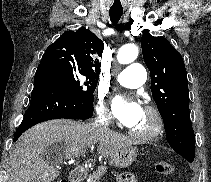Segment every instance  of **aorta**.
Returning <instances> with one entry per match:
<instances>
[{
	"label": "aorta",
	"mask_w": 211,
	"mask_h": 182,
	"mask_svg": "<svg viewBox=\"0 0 211 182\" xmlns=\"http://www.w3.org/2000/svg\"><path fill=\"white\" fill-rule=\"evenodd\" d=\"M138 47L134 44L123 45L117 54V60L121 64H129L133 62L138 56Z\"/></svg>",
	"instance_id": "aorta-1"
}]
</instances>
